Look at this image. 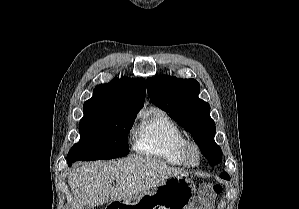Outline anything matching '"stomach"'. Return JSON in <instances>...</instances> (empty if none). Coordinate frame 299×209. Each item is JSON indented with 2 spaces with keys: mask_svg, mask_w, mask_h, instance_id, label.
<instances>
[{
  "mask_svg": "<svg viewBox=\"0 0 299 209\" xmlns=\"http://www.w3.org/2000/svg\"><path fill=\"white\" fill-rule=\"evenodd\" d=\"M196 186L186 176L168 178L132 200L114 201L111 209H195ZM112 206V207H111Z\"/></svg>",
  "mask_w": 299,
  "mask_h": 209,
  "instance_id": "stomach-1",
  "label": "stomach"
}]
</instances>
